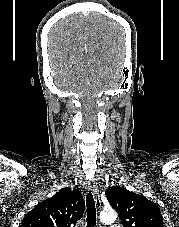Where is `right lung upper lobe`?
<instances>
[{
	"label": "right lung upper lobe",
	"mask_w": 179,
	"mask_h": 227,
	"mask_svg": "<svg viewBox=\"0 0 179 227\" xmlns=\"http://www.w3.org/2000/svg\"><path fill=\"white\" fill-rule=\"evenodd\" d=\"M84 209L80 191L63 188L28 212L21 227H75Z\"/></svg>",
	"instance_id": "cb5924a9"
}]
</instances>
